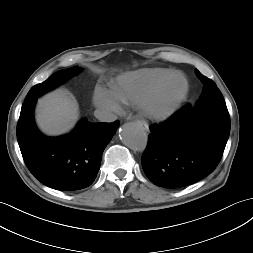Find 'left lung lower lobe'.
I'll return each instance as SVG.
<instances>
[{
  "instance_id": "left-lung-lower-lobe-1",
  "label": "left lung lower lobe",
  "mask_w": 253,
  "mask_h": 253,
  "mask_svg": "<svg viewBox=\"0 0 253 253\" xmlns=\"http://www.w3.org/2000/svg\"><path fill=\"white\" fill-rule=\"evenodd\" d=\"M150 130L141 160L146 176L158 186L181 188L214 171L229 137L230 116L226 104H187Z\"/></svg>"
}]
</instances>
